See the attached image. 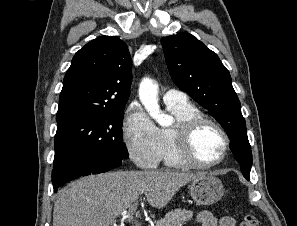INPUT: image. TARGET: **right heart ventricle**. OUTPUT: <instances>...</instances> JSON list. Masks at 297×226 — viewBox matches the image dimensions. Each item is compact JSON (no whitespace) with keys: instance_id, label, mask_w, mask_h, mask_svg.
<instances>
[{"instance_id":"obj_1","label":"right heart ventricle","mask_w":297,"mask_h":226,"mask_svg":"<svg viewBox=\"0 0 297 226\" xmlns=\"http://www.w3.org/2000/svg\"><path fill=\"white\" fill-rule=\"evenodd\" d=\"M166 107L175 117L176 123L202 116L201 112L189 102L185 105L166 104ZM172 128L173 126L159 129L162 152L161 160H163L167 167L177 169L187 168L189 165L186 164L177 153L172 137Z\"/></svg>"}]
</instances>
